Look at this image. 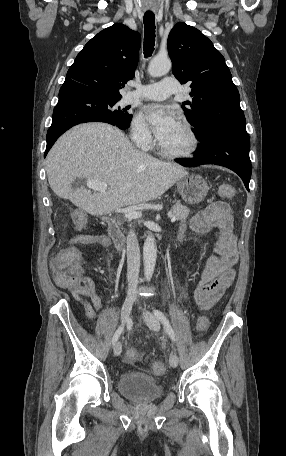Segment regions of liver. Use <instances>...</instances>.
<instances>
[{
  "mask_svg": "<svg viewBox=\"0 0 286 456\" xmlns=\"http://www.w3.org/2000/svg\"><path fill=\"white\" fill-rule=\"evenodd\" d=\"M53 192L91 215L154 200L188 175L183 167L135 149L125 134L105 123H86L64 133L46 158ZM108 185L105 193L74 189L75 179Z\"/></svg>",
  "mask_w": 286,
  "mask_h": 456,
  "instance_id": "obj_1",
  "label": "liver"
}]
</instances>
